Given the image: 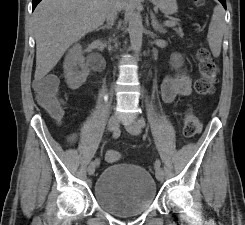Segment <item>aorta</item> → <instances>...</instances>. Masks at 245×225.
Returning <instances> with one entry per match:
<instances>
[{"label": "aorta", "mask_w": 245, "mask_h": 225, "mask_svg": "<svg viewBox=\"0 0 245 225\" xmlns=\"http://www.w3.org/2000/svg\"><path fill=\"white\" fill-rule=\"evenodd\" d=\"M142 17L138 11H131L129 14L128 33L130 36L131 49L136 56L139 55L142 48L143 37Z\"/></svg>", "instance_id": "762f6f07"}]
</instances>
